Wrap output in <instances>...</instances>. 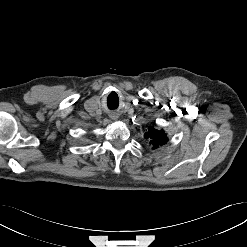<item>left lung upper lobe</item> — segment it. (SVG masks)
<instances>
[{"label":"left lung upper lobe","instance_id":"obj_1","mask_svg":"<svg viewBox=\"0 0 247 247\" xmlns=\"http://www.w3.org/2000/svg\"><path fill=\"white\" fill-rule=\"evenodd\" d=\"M145 138L149 139L150 144L155 148L164 145L168 139L163 130L158 131L153 127H150L148 132L145 133Z\"/></svg>","mask_w":247,"mask_h":247}]
</instances>
